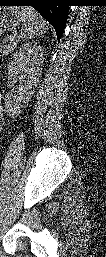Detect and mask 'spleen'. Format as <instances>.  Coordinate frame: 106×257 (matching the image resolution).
<instances>
[{"mask_svg": "<svg viewBox=\"0 0 106 257\" xmlns=\"http://www.w3.org/2000/svg\"><path fill=\"white\" fill-rule=\"evenodd\" d=\"M20 21L23 23L21 38L31 40L42 35L48 30L46 21L39 15L33 7L17 8Z\"/></svg>", "mask_w": 106, "mask_h": 257, "instance_id": "1", "label": "spleen"}]
</instances>
